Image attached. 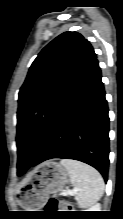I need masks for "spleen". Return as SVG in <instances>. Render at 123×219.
Returning a JSON list of instances; mask_svg holds the SVG:
<instances>
[{
  "label": "spleen",
  "instance_id": "spleen-1",
  "mask_svg": "<svg viewBox=\"0 0 123 219\" xmlns=\"http://www.w3.org/2000/svg\"><path fill=\"white\" fill-rule=\"evenodd\" d=\"M70 176V182L77 191L75 199L80 208L94 205L102 196L104 181L101 174L82 162L70 159L60 161Z\"/></svg>",
  "mask_w": 123,
  "mask_h": 219
}]
</instances>
